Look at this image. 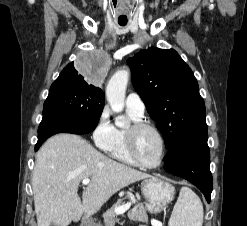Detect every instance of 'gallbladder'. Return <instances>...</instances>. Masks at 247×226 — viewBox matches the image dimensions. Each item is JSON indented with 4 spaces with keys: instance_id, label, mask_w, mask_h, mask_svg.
I'll return each instance as SVG.
<instances>
[{
    "instance_id": "gallbladder-1",
    "label": "gallbladder",
    "mask_w": 247,
    "mask_h": 226,
    "mask_svg": "<svg viewBox=\"0 0 247 226\" xmlns=\"http://www.w3.org/2000/svg\"><path fill=\"white\" fill-rule=\"evenodd\" d=\"M50 226H56V225H54V224H51Z\"/></svg>"
}]
</instances>
